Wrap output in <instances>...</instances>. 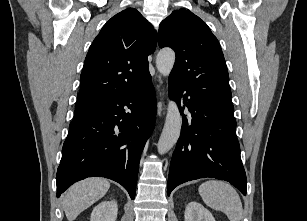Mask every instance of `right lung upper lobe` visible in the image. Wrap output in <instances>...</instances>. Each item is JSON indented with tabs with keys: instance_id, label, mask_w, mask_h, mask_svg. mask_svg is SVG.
<instances>
[{
	"instance_id": "right-lung-upper-lobe-1",
	"label": "right lung upper lobe",
	"mask_w": 307,
	"mask_h": 221,
	"mask_svg": "<svg viewBox=\"0 0 307 221\" xmlns=\"http://www.w3.org/2000/svg\"><path fill=\"white\" fill-rule=\"evenodd\" d=\"M156 44V31L136 9L113 16L89 48L76 107H96L141 88L150 76L148 55Z\"/></svg>"
}]
</instances>
